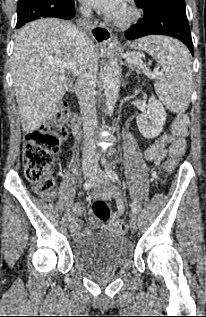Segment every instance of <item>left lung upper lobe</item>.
Instances as JSON below:
<instances>
[{
	"label": "left lung upper lobe",
	"instance_id": "obj_1",
	"mask_svg": "<svg viewBox=\"0 0 206 317\" xmlns=\"http://www.w3.org/2000/svg\"><path fill=\"white\" fill-rule=\"evenodd\" d=\"M138 7H142L144 12H150L157 9H173L185 12L184 0H135Z\"/></svg>",
	"mask_w": 206,
	"mask_h": 317
}]
</instances>
